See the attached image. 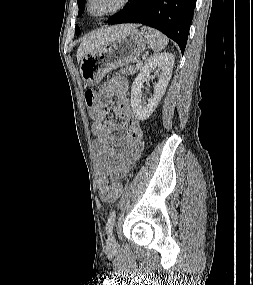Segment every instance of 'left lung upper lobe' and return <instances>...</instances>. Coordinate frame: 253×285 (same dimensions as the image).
Returning a JSON list of instances; mask_svg holds the SVG:
<instances>
[{
    "label": "left lung upper lobe",
    "instance_id": "left-lung-upper-lobe-1",
    "mask_svg": "<svg viewBox=\"0 0 253 285\" xmlns=\"http://www.w3.org/2000/svg\"><path fill=\"white\" fill-rule=\"evenodd\" d=\"M77 1H78V7H79L78 16H81V14L83 13L85 0H77ZM75 31H76V35L80 34V29L77 25H76Z\"/></svg>",
    "mask_w": 253,
    "mask_h": 285
}]
</instances>
